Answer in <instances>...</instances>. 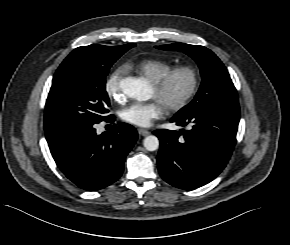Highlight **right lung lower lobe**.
Segmentation results:
<instances>
[{
    "mask_svg": "<svg viewBox=\"0 0 290 245\" xmlns=\"http://www.w3.org/2000/svg\"><path fill=\"white\" fill-rule=\"evenodd\" d=\"M113 122L114 116L105 120ZM98 123H80L45 129L51 154L60 170L84 190H100L119 179L126 155L138 134L126 123L114 124L109 132L98 135Z\"/></svg>",
    "mask_w": 290,
    "mask_h": 245,
    "instance_id": "98d812e1",
    "label": "right lung lower lobe"
}]
</instances>
